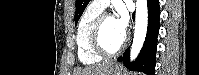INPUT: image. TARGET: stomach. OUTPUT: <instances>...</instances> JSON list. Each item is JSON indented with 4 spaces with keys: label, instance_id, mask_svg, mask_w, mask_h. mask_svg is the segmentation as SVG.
I'll return each mask as SVG.
<instances>
[{
    "label": "stomach",
    "instance_id": "stomach-1",
    "mask_svg": "<svg viewBox=\"0 0 199 75\" xmlns=\"http://www.w3.org/2000/svg\"><path fill=\"white\" fill-rule=\"evenodd\" d=\"M108 75H122L121 67L114 65L110 68Z\"/></svg>",
    "mask_w": 199,
    "mask_h": 75
}]
</instances>
